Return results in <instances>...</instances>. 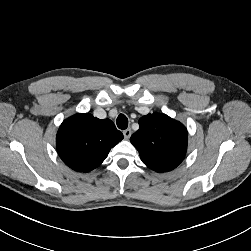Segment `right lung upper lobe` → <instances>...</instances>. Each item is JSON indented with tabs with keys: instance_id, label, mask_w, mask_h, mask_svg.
Instances as JSON below:
<instances>
[{
	"instance_id": "obj_1",
	"label": "right lung upper lobe",
	"mask_w": 251,
	"mask_h": 251,
	"mask_svg": "<svg viewBox=\"0 0 251 251\" xmlns=\"http://www.w3.org/2000/svg\"><path fill=\"white\" fill-rule=\"evenodd\" d=\"M122 139L123 134L110 119L79 113L63 121L56 146L67 166L78 172H89L97 168Z\"/></svg>"
}]
</instances>
